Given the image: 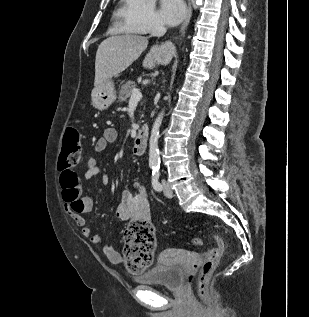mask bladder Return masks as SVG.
I'll return each instance as SVG.
<instances>
[{
	"label": "bladder",
	"instance_id": "1",
	"mask_svg": "<svg viewBox=\"0 0 309 317\" xmlns=\"http://www.w3.org/2000/svg\"><path fill=\"white\" fill-rule=\"evenodd\" d=\"M183 279V269L179 264H158L135 277L138 284L159 285L168 289L180 288Z\"/></svg>",
	"mask_w": 309,
	"mask_h": 317
}]
</instances>
